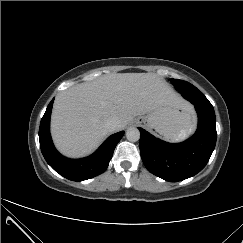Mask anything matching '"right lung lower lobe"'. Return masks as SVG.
<instances>
[{
	"label": "right lung lower lobe",
	"mask_w": 243,
	"mask_h": 243,
	"mask_svg": "<svg viewBox=\"0 0 243 243\" xmlns=\"http://www.w3.org/2000/svg\"><path fill=\"white\" fill-rule=\"evenodd\" d=\"M53 101L54 99L49 103L39 128L40 148L47 163L57 173L72 181L87 180L103 173L107 169L114 149L124 132L111 135L89 157L77 160L68 159L57 152L51 140L49 128Z\"/></svg>",
	"instance_id": "obj_1"
}]
</instances>
